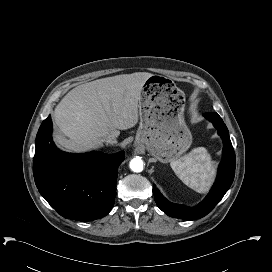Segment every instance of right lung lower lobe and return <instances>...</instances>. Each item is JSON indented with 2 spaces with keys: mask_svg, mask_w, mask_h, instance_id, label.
Instances as JSON below:
<instances>
[{
  "mask_svg": "<svg viewBox=\"0 0 272 272\" xmlns=\"http://www.w3.org/2000/svg\"><path fill=\"white\" fill-rule=\"evenodd\" d=\"M51 134L49 116L37 133L33 159L40 194L65 218L87 222L106 216L114 205L117 169L125 153L62 152L56 148Z\"/></svg>",
  "mask_w": 272,
  "mask_h": 272,
  "instance_id": "obj_1",
  "label": "right lung lower lobe"
}]
</instances>
